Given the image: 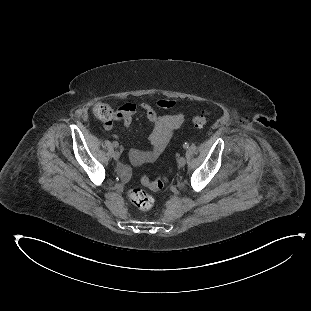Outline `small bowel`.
<instances>
[{
    "instance_id": "small-bowel-1",
    "label": "small bowel",
    "mask_w": 311,
    "mask_h": 311,
    "mask_svg": "<svg viewBox=\"0 0 311 311\" xmlns=\"http://www.w3.org/2000/svg\"><path fill=\"white\" fill-rule=\"evenodd\" d=\"M156 105L162 109H172L175 102L169 99L159 100ZM141 110L147 117L151 125L148 135L150 144L149 150L133 149L129 152V160L134 166H141L145 163L153 162L159 158L174 132L182 125L184 115L182 113L160 116L155 111L154 106L147 101H142L138 105L135 103H124L117 109L118 119L122 121L124 127H129L138 111ZM107 130L111 128L105 127Z\"/></svg>"
}]
</instances>
